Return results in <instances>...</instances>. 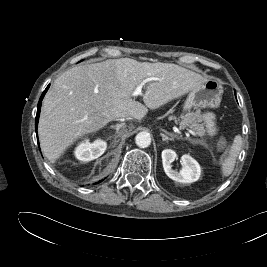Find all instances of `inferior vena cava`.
Instances as JSON below:
<instances>
[{
    "label": "inferior vena cava",
    "instance_id": "obj_1",
    "mask_svg": "<svg viewBox=\"0 0 267 267\" xmlns=\"http://www.w3.org/2000/svg\"><path fill=\"white\" fill-rule=\"evenodd\" d=\"M125 119H127V120H131V119H133V118H132V117H126V118H121V119H117V120L124 121Z\"/></svg>",
    "mask_w": 267,
    "mask_h": 267
}]
</instances>
